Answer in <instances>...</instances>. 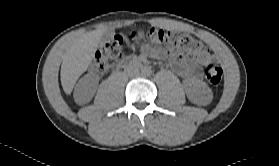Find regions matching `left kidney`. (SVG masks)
<instances>
[{
    "instance_id": "left-kidney-1",
    "label": "left kidney",
    "mask_w": 279,
    "mask_h": 166,
    "mask_svg": "<svg viewBox=\"0 0 279 166\" xmlns=\"http://www.w3.org/2000/svg\"><path fill=\"white\" fill-rule=\"evenodd\" d=\"M187 98L194 104L202 105L211 102L213 93L210 87L200 79H187L184 81Z\"/></svg>"
}]
</instances>
